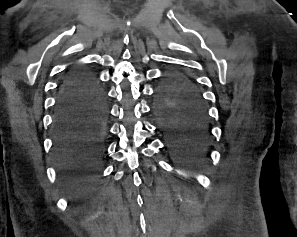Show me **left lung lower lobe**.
I'll use <instances>...</instances> for the list:
<instances>
[{
  "label": "left lung lower lobe",
  "mask_w": 297,
  "mask_h": 237,
  "mask_svg": "<svg viewBox=\"0 0 297 237\" xmlns=\"http://www.w3.org/2000/svg\"><path fill=\"white\" fill-rule=\"evenodd\" d=\"M159 127L166 135L168 147L185 160L205 156L211 139L204 105L185 101L175 105H155Z\"/></svg>",
  "instance_id": "1"
}]
</instances>
